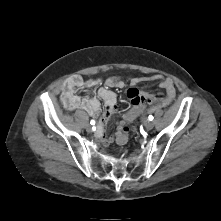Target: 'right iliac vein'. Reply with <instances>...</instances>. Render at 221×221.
<instances>
[{
  "mask_svg": "<svg viewBox=\"0 0 221 221\" xmlns=\"http://www.w3.org/2000/svg\"><path fill=\"white\" fill-rule=\"evenodd\" d=\"M86 130L88 131V132H92V127H91V125H86Z\"/></svg>",
  "mask_w": 221,
  "mask_h": 221,
  "instance_id": "63e3f726",
  "label": "right iliac vein"
}]
</instances>
